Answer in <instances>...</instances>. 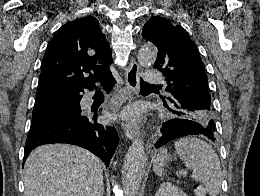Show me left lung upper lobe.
I'll use <instances>...</instances> for the list:
<instances>
[{
  "label": "left lung upper lobe",
  "mask_w": 260,
  "mask_h": 196,
  "mask_svg": "<svg viewBox=\"0 0 260 196\" xmlns=\"http://www.w3.org/2000/svg\"><path fill=\"white\" fill-rule=\"evenodd\" d=\"M142 37L158 48L154 68L159 69L168 80L166 91L170 92L167 99L171 107L165 101L164 104L169 115L205 126L214 123L204 64L183 27L155 16L144 25Z\"/></svg>",
  "instance_id": "1"
}]
</instances>
